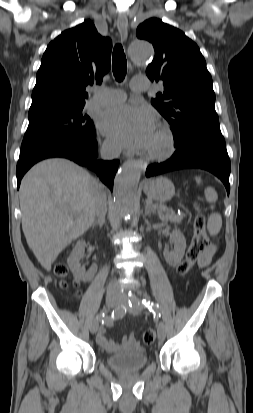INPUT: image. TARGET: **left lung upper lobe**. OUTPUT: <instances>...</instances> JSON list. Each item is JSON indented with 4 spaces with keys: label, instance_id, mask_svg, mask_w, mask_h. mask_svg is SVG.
<instances>
[{
    "label": "left lung upper lobe",
    "instance_id": "1",
    "mask_svg": "<svg viewBox=\"0 0 253 413\" xmlns=\"http://www.w3.org/2000/svg\"><path fill=\"white\" fill-rule=\"evenodd\" d=\"M136 35L150 41L155 58L146 74L151 81H162L164 89L151 100L179 136L196 122H219L214 108L212 78L198 46L181 30L158 18L140 24Z\"/></svg>",
    "mask_w": 253,
    "mask_h": 413
}]
</instances>
